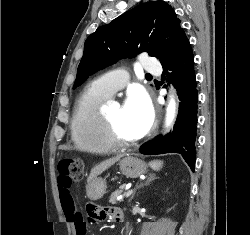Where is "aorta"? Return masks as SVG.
Listing matches in <instances>:
<instances>
[{
    "label": "aorta",
    "mask_w": 250,
    "mask_h": 235,
    "mask_svg": "<svg viewBox=\"0 0 250 235\" xmlns=\"http://www.w3.org/2000/svg\"><path fill=\"white\" fill-rule=\"evenodd\" d=\"M175 109H176L175 101L173 99H171L170 103L167 107V114H166V125L167 126L170 125L174 119Z\"/></svg>",
    "instance_id": "obj_1"
}]
</instances>
